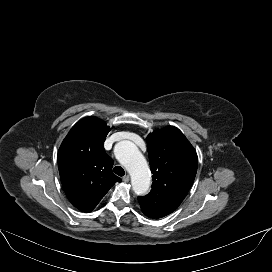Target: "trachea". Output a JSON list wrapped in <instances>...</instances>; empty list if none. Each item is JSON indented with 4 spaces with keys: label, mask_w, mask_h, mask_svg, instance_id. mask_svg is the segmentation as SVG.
Here are the masks:
<instances>
[{
    "label": "trachea",
    "mask_w": 272,
    "mask_h": 272,
    "mask_svg": "<svg viewBox=\"0 0 272 272\" xmlns=\"http://www.w3.org/2000/svg\"><path fill=\"white\" fill-rule=\"evenodd\" d=\"M113 171L115 174H117L119 176H124V174H125V171L121 166L114 167Z\"/></svg>",
    "instance_id": "3493384b"
}]
</instances>
